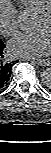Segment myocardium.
<instances>
[{
	"label": "myocardium",
	"mask_w": 51,
	"mask_h": 153,
	"mask_svg": "<svg viewBox=\"0 0 51 153\" xmlns=\"http://www.w3.org/2000/svg\"><path fill=\"white\" fill-rule=\"evenodd\" d=\"M39 14L42 15V16H46V17H50L51 18V5L48 8H46V9L42 10L41 12H39Z\"/></svg>",
	"instance_id": "f54148a6"
}]
</instances>
